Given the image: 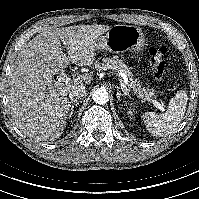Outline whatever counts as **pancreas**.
<instances>
[{"label": "pancreas", "mask_w": 199, "mask_h": 199, "mask_svg": "<svg viewBox=\"0 0 199 199\" xmlns=\"http://www.w3.org/2000/svg\"><path fill=\"white\" fill-rule=\"evenodd\" d=\"M96 68L98 71L110 69L123 73L128 79L127 86L129 90L139 97L144 98V100H150L154 94L150 89L141 88L137 79L133 78L134 75L130 71V68L123 62V60L119 59L118 56L103 59L101 63L97 64Z\"/></svg>", "instance_id": "cf45deb5"}]
</instances>
